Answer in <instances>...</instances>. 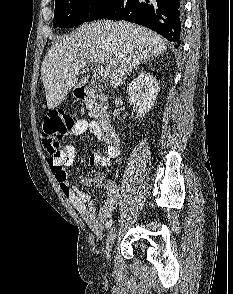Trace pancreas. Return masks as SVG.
Masks as SVG:
<instances>
[{
  "instance_id": "pancreas-1",
  "label": "pancreas",
  "mask_w": 233,
  "mask_h": 294,
  "mask_svg": "<svg viewBox=\"0 0 233 294\" xmlns=\"http://www.w3.org/2000/svg\"><path fill=\"white\" fill-rule=\"evenodd\" d=\"M87 108L93 117L98 116L99 107L97 105H93V104L89 103V104H87Z\"/></svg>"
}]
</instances>
